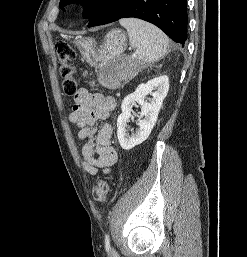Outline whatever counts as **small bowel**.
Returning <instances> with one entry per match:
<instances>
[{"label": "small bowel", "mask_w": 247, "mask_h": 257, "mask_svg": "<svg viewBox=\"0 0 247 257\" xmlns=\"http://www.w3.org/2000/svg\"><path fill=\"white\" fill-rule=\"evenodd\" d=\"M115 105L113 97L83 88L74 95L69 121L78 129V138L84 141L83 166L91 175H96L99 169L108 172L117 161V152L111 143V125L104 123L99 128L96 126L99 121L109 119Z\"/></svg>", "instance_id": "small-bowel-1"}]
</instances>
